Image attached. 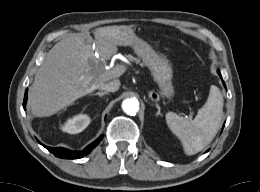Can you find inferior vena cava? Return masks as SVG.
I'll use <instances>...</instances> for the list:
<instances>
[{
  "instance_id": "1",
  "label": "inferior vena cava",
  "mask_w": 260,
  "mask_h": 192,
  "mask_svg": "<svg viewBox=\"0 0 260 192\" xmlns=\"http://www.w3.org/2000/svg\"><path fill=\"white\" fill-rule=\"evenodd\" d=\"M120 84H121L120 80L114 79L106 83L104 86H102L100 90H104L107 92H115L119 89Z\"/></svg>"
}]
</instances>
